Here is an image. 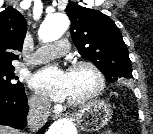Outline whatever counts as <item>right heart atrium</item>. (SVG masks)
<instances>
[{
	"instance_id": "obj_1",
	"label": "right heart atrium",
	"mask_w": 153,
	"mask_h": 134,
	"mask_svg": "<svg viewBox=\"0 0 153 134\" xmlns=\"http://www.w3.org/2000/svg\"><path fill=\"white\" fill-rule=\"evenodd\" d=\"M30 106L37 112H45L48 108L47 99L41 94L35 93L30 97Z\"/></svg>"
}]
</instances>
